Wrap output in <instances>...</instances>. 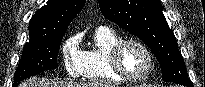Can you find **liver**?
<instances>
[{
  "label": "liver",
  "mask_w": 205,
  "mask_h": 87,
  "mask_svg": "<svg viewBox=\"0 0 205 87\" xmlns=\"http://www.w3.org/2000/svg\"><path fill=\"white\" fill-rule=\"evenodd\" d=\"M19 87H114L109 84H103L101 82H89V83H77V82H62V81H48L37 80V78H30L29 80L22 82Z\"/></svg>",
  "instance_id": "1"
}]
</instances>
